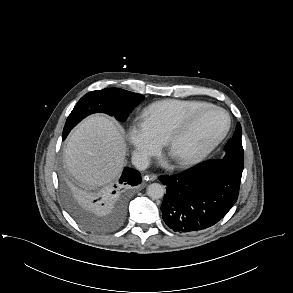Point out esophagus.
Returning <instances> with one entry per match:
<instances>
[{
    "instance_id": "obj_1",
    "label": "esophagus",
    "mask_w": 293,
    "mask_h": 293,
    "mask_svg": "<svg viewBox=\"0 0 293 293\" xmlns=\"http://www.w3.org/2000/svg\"><path fill=\"white\" fill-rule=\"evenodd\" d=\"M145 180L155 181L157 179V176L155 174L145 175Z\"/></svg>"
}]
</instances>
